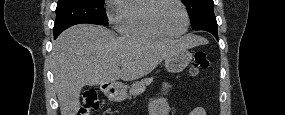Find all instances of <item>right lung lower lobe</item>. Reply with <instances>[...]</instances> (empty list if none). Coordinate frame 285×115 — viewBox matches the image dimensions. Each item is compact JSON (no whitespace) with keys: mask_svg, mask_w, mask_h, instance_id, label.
<instances>
[{"mask_svg":"<svg viewBox=\"0 0 285 115\" xmlns=\"http://www.w3.org/2000/svg\"><path fill=\"white\" fill-rule=\"evenodd\" d=\"M62 31H60V32H55L54 33V39H56L57 37H58V35L61 33Z\"/></svg>","mask_w":285,"mask_h":115,"instance_id":"obj_1","label":"right lung lower lobe"}]
</instances>
